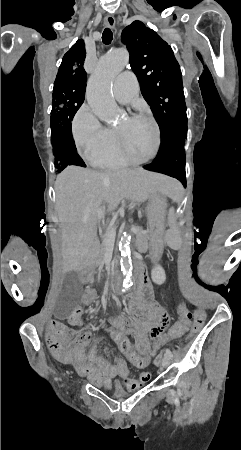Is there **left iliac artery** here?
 Listing matches in <instances>:
<instances>
[{
    "instance_id": "1",
    "label": "left iliac artery",
    "mask_w": 241,
    "mask_h": 450,
    "mask_svg": "<svg viewBox=\"0 0 241 450\" xmlns=\"http://www.w3.org/2000/svg\"><path fill=\"white\" fill-rule=\"evenodd\" d=\"M166 355H167L169 358H172V357H173L172 352H171L169 349H166Z\"/></svg>"
}]
</instances>
